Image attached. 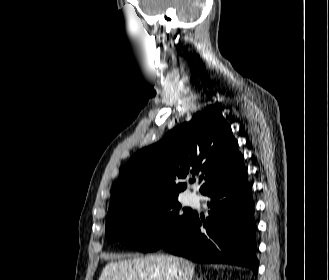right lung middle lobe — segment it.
I'll return each mask as SVG.
<instances>
[{"label":"right lung middle lobe","mask_w":329,"mask_h":280,"mask_svg":"<svg viewBox=\"0 0 329 280\" xmlns=\"http://www.w3.org/2000/svg\"><path fill=\"white\" fill-rule=\"evenodd\" d=\"M194 215L181 211L178 196H148L109 211L105 235L111 241L152 252L182 232Z\"/></svg>","instance_id":"1"}]
</instances>
